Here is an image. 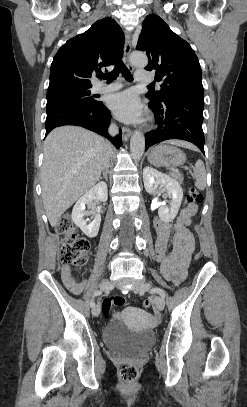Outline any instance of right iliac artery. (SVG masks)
<instances>
[{"mask_svg":"<svg viewBox=\"0 0 247 407\" xmlns=\"http://www.w3.org/2000/svg\"><path fill=\"white\" fill-rule=\"evenodd\" d=\"M101 294H102V290H101V289H100V290H96V291L94 292L93 298H92L91 301H90V306H91V307H94V306H95L94 297H95V296H99V295H101Z\"/></svg>","mask_w":247,"mask_h":407,"instance_id":"1","label":"right iliac artery"}]
</instances>
